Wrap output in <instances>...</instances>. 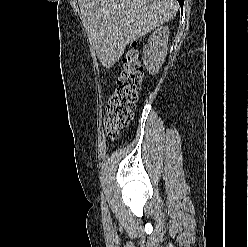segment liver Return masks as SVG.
<instances>
[{"instance_id":"liver-1","label":"liver","mask_w":248,"mask_h":247,"mask_svg":"<svg viewBox=\"0 0 248 247\" xmlns=\"http://www.w3.org/2000/svg\"><path fill=\"white\" fill-rule=\"evenodd\" d=\"M80 18L98 58L111 68L126 46L170 21L176 0H78Z\"/></svg>"}]
</instances>
